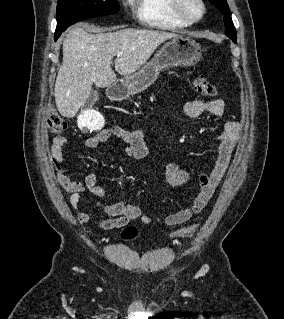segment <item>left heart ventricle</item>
I'll return each instance as SVG.
<instances>
[{
  "mask_svg": "<svg viewBox=\"0 0 284 319\" xmlns=\"http://www.w3.org/2000/svg\"><path fill=\"white\" fill-rule=\"evenodd\" d=\"M185 10L191 17H198L201 14V6L196 0H186Z\"/></svg>",
  "mask_w": 284,
  "mask_h": 319,
  "instance_id": "left-heart-ventricle-1",
  "label": "left heart ventricle"
}]
</instances>
